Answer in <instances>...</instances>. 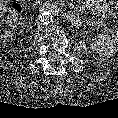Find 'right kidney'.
Masks as SVG:
<instances>
[{"label": "right kidney", "instance_id": "ca27d5eb", "mask_svg": "<svg viewBox=\"0 0 118 118\" xmlns=\"http://www.w3.org/2000/svg\"><path fill=\"white\" fill-rule=\"evenodd\" d=\"M0 39L3 42H9V41H13L15 39V36L11 32H5L1 35Z\"/></svg>", "mask_w": 118, "mask_h": 118}]
</instances>
